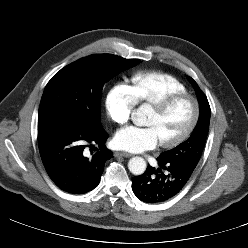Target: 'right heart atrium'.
Listing matches in <instances>:
<instances>
[{
    "instance_id": "right-heart-atrium-1",
    "label": "right heart atrium",
    "mask_w": 248,
    "mask_h": 248,
    "mask_svg": "<svg viewBox=\"0 0 248 248\" xmlns=\"http://www.w3.org/2000/svg\"><path fill=\"white\" fill-rule=\"evenodd\" d=\"M135 104L130 90L126 85L121 83L112 86L105 97L107 113L110 119L118 125L128 122Z\"/></svg>"
}]
</instances>
